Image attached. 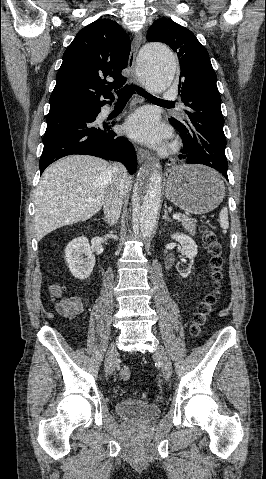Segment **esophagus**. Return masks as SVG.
Here are the masks:
<instances>
[{
  "instance_id": "34e87169",
  "label": "esophagus",
  "mask_w": 266,
  "mask_h": 479,
  "mask_svg": "<svg viewBox=\"0 0 266 479\" xmlns=\"http://www.w3.org/2000/svg\"><path fill=\"white\" fill-rule=\"evenodd\" d=\"M141 43H142V35L140 32H137L135 33L134 39L132 41L131 52H130L129 60H128V68L130 70L129 80L131 83L136 85H139V83H138V78L135 71V59H136V55ZM137 159L140 164L143 163L145 160H148V161L152 160L150 153L147 150L142 148L137 149Z\"/></svg>"
}]
</instances>
